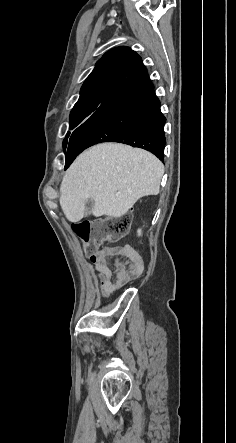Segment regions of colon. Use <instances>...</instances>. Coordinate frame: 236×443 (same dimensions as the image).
<instances>
[{
	"label": "colon",
	"instance_id": "1",
	"mask_svg": "<svg viewBox=\"0 0 236 443\" xmlns=\"http://www.w3.org/2000/svg\"><path fill=\"white\" fill-rule=\"evenodd\" d=\"M130 229V216L90 222L82 220L73 225L76 236L85 244L88 256L95 257L103 243L119 241Z\"/></svg>",
	"mask_w": 236,
	"mask_h": 443
}]
</instances>
